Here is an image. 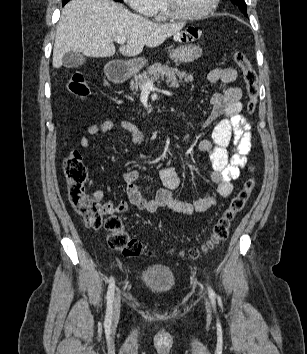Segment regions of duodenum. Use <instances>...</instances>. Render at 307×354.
<instances>
[{
    "instance_id": "1",
    "label": "duodenum",
    "mask_w": 307,
    "mask_h": 354,
    "mask_svg": "<svg viewBox=\"0 0 307 354\" xmlns=\"http://www.w3.org/2000/svg\"><path fill=\"white\" fill-rule=\"evenodd\" d=\"M109 77L113 82H122L124 80L123 72L118 69H111L109 71Z\"/></svg>"
}]
</instances>
